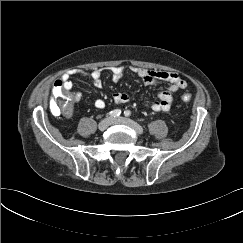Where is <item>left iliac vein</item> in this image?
Listing matches in <instances>:
<instances>
[{"label": "left iliac vein", "mask_w": 243, "mask_h": 243, "mask_svg": "<svg viewBox=\"0 0 243 243\" xmlns=\"http://www.w3.org/2000/svg\"><path fill=\"white\" fill-rule=\"evenodd\" d=\"M111 123L127 125V126L131 127L136 133H138V134L143 133L142 127L139 124H137L136 122H134L133 120L128 119V118H124V117L114 118L113 120H111Z\"/></svg>", "instance_id": "left-iliac-vein-1"}]
</instances>
